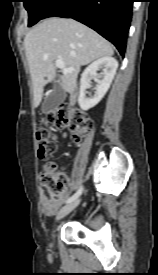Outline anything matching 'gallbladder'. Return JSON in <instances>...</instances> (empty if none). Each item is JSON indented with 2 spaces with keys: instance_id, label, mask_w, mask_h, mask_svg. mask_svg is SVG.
I'll return each instance as SVG.
<instances>
[{
  "instance_id": "bac80fb5",
  "label": "gallbladder",
  "mask_w": 158,
  "mask_h": 275,
  "mask_svg": "<svg viewBox=\"0 0 158 275\" xmlns=\"http://www.w3.org/2000/svg\"><path fill=\"white\" fill-rule=\"evenodd\" d=\"M65 99V91L57 78L53 81V89L42 104V113L48 114L55 111Z\"/></svg>"
}]
</instances>
